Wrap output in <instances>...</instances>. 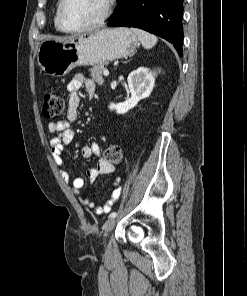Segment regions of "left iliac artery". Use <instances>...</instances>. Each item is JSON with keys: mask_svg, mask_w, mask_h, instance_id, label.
I'll use <instances>...</instances> for the list:
<instances>
[{"mask_svg": "<svg viewBox=\"0 0 247 296\" xmlns=\"http://www.w3.org/2000/svg\"><path fill=\"white\" fill-rule=\"evenodd\" d=\"M117 216H118V213H117V212H112V213L109 215L110 218H115V217H117Z\"/></svg>", "mask_w": 247, "mask_h": 296, "instance_id": "44dca946", "label": "left iliac artery"}]
</instances>
